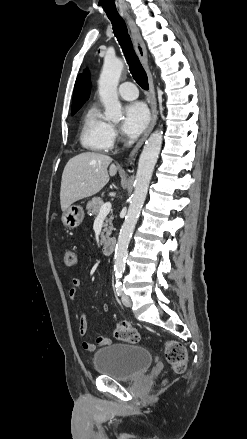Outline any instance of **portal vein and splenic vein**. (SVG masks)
<instances>
[{"instance_id": "1", "label": "portal vein and splenic vein", "mask_w": 247, "mask_h": 439, "mask_svg": "<svg viewBox=\"0 0 247 439\" xmlns=\"http://www.w3.org/2000/svg\"><path fill=\"white\" fill-rule=\"evenodd\" d=\"M111 207L112 205L110 202H106L105 204H103L100 208L98 217L107 215L111 211Z\"/></svg>"}]
</instances>
